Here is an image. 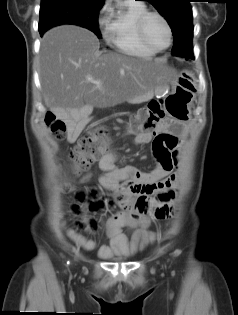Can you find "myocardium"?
Masks as SVG:
<instances>
[{
	"instance_id": "f54148a6",
	"label": "myocardium",
	"mask_w": 238,
	"mask_h": 315,
	"mask_svg": "<svg viewBox=\"0 0 238 315\" xmlns=\"http://www.w3.org/2000/svg\"><path fill=\"white\" fill-rule=\"evenodd\" d=\"M150 17L159 18L164 23V25L167 29L168 43L163 48L155 47L146 37L145 29H146L147 21L149 20ZM137 32H138V36H139L141 42L146 47H148L149 49H151L155 52L165 51L166 49H168L171 46L172 41H173V32H172V28H171L169 21L167 20V18L164 15H162L161 13L156 12V11H147L139 18L138 23H137Z\"/></svg>"
}]
</instances>
